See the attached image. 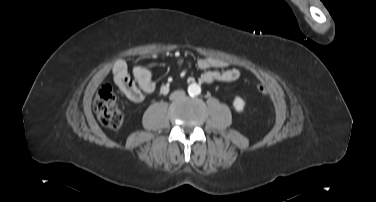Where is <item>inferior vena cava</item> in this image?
Masks as SVG:
<instances>
[{"mask_svg": "<svg viewBox=\"0 0 376 202\" xmlns=\"http://www.w3.org/2000/svg\"><path fill=\"white\" fill-rule=\"evenodd\" d=\"M185 95V92L183 90L175 91L170 95V99L174 100L176 98H181Z\"/></svg>", "mask_w": 376, "mask_h": 202, "instance_id": "602c4592", "label": "inferior vena cava"}]
</instances>
